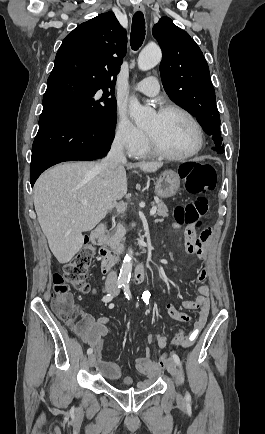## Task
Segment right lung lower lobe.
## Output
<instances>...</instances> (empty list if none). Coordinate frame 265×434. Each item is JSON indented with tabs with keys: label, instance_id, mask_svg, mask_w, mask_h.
Instances as JSON below:
<instances>
[{
	"label": "right lung lower lobe",
	"instance_id": "obj_1",
	"mask_svg": "<svg viewBox=\"0 0 265 434\" xmlns=\"http://www.w3.org/2000/svg\"><path fill=\"white\" fill-rule=\"evenodd\" d=\"M113 138V130L89 125L60 105H43L32 146L31 186L44 170L57 163L104 157Z\"/></svg>",
	"mask_w": 265,
	"mask_h": 434
}]
</instances>
